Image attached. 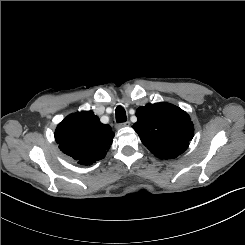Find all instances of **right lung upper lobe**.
Wrapping results in <instances>:
<instances>
[{"instance_id": "1", "label": "right lung upper lobe", "mask_w": 245, "mask_h": 245, "mask_svg": "<svg viewBox=\"0 0 245 245\" xmlns=\"http://www.w3.org/2000/svg\"><path fill=\"white\" fill-rule=\"evenodd\" d=\"M54 136L63 153L78 164L88 165L105 157L114 133L92 111H85L66 117L57 126Z\"/></svg>"}]
</instances>
